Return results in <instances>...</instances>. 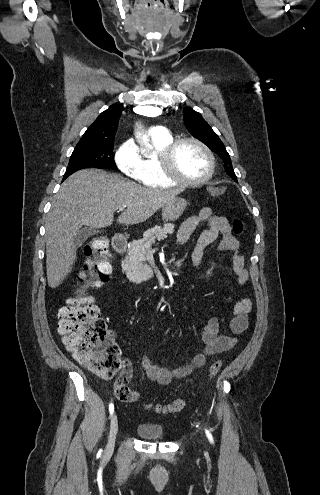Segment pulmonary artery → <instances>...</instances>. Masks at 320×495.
<instances>
[{"instance_id": "1", "label": "pulmonary artery", "mask_w": 320, "mask_h": 495, "mask_svg": "<svg viewBox=\"0 0 320 495\" xmlns=\"http://www.w3.org/2000/svg\"><path fill=\"white\" fill-rule=\"evenodd\" d=\"M148 134L152 136L164 137L169 135L168 130L163 126H154L148 129Z\"/></svg>"}]
</instances>
